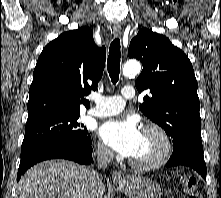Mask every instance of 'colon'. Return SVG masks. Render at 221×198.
Masks as SVG:
<instances>
[{
    "instance_id": "colon-1",
    "label": "colon",
    "mask_w": 221,
    "mask_h": 198,
    "mask_svg": "<svg viewBox=\"0 0 221 198\" xmlns=\"http://www.w3.org/2000/svg\"><path fill=\"white\" fill-rule=\"evenodd\" d=\"M182 188L187 198H197V179L195 177L185 178Z\"/></svg>"
}]
</instances>
